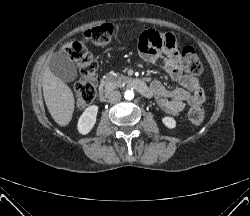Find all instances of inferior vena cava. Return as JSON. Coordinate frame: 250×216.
<instances>
[{
	"label": "inferior vena cava",
	"mask_w": 250,
	"mask_h": 216,
	"mask_svg": "<svg viewBox=\"0 0 250 216\" xmlns=\"http://www.w3.org/2000/svg\"><path fill=\"white\" fill-rule=\"evenodd\" d=\"M121 99V93L119 91H112L108 95V101L110 103H116Z\"/></svg>",
	"instance_id": "inferior-vena-cava-1"
}]
</instances>
